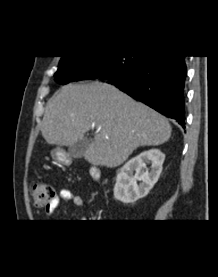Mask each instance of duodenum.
Wrapping results in <instances>:
<instances>
[{
  "mask_svg": "<svg viewBox=\"0 0 218 277\" xmlns=\"http://www.w3.org/2000/svg\"><path fill=\"white\" fill-rule=\"evenodd\" d=\"M90 173H91V176H92L93 179H98L100 177V171L96 167H93L91 169Z\"/></svg>",
  "mask_w": 218,
  "mask_h": 277,
  "instance_id": "obj_1",
  "label": "duodenum"
}]
</instances>
